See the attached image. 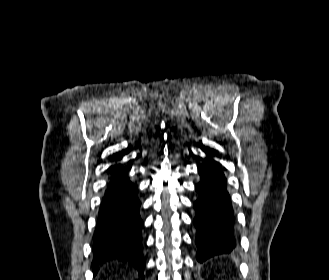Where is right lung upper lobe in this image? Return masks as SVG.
<instances>
[{
    "instance_id": "right-lung-upper-lobe-1",
    "label": "right lung upper lobe",
    "mask_w": 329,
    "mask_h": 280,
    "mask_svg": "<svg viewBox=\"0 0 329 280\" xmlns=\"http://www.w3.org/2000/svg\"><path fill=\"white\" fill-rule=\"evenodd\" d=\"M123 155H120L119 157H117V159H121Z\"/></svg>"
}]
</instances>
